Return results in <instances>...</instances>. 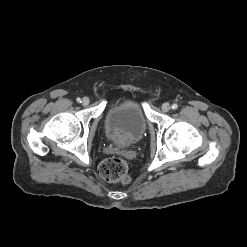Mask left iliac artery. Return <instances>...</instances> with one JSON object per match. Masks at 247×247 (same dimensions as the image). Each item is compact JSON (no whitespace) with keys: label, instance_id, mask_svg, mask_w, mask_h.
<instances>
[{"label":"left iliac artery","instance_id":"obj_1","mask_svg":"<svg viewBox=\"0 0 247 247\" xmlns=\"http://www.w3.org/2000/svg\"><path fill=\"white\" fill-rule=\"evenodd\" d=\"M172 108H173L174 110H176V109L178 108V105L174 103V104L172 105Z\"/></svg>","mask_w":247,"mask_h":247}]
</instances>
